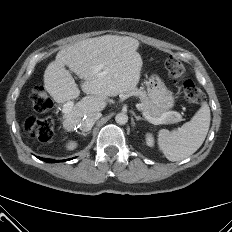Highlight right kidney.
Here are the masks:
<instances>
[{
    "instance_id": "obj_1",
    "label": "right kidney",
    "mask_w": 232,
    "mask_h": 232,
    "mask_svg": "<svg viewBox=\"0 0 232 232\" xmlns=\"http://www.w3.org/2000/svg\"><path fill=\"white\" fill-rule=\"evenodd\" d=\"M76 146H77V143H75V142H69L67 144V148L70 150H73Z\"/></svg>"
}]
</instances>
